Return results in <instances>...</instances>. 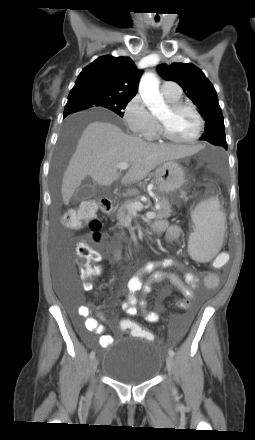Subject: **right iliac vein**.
<instances>
[{"label":"right iliac vein","mask_w":255,"mask_h":440,"mask_svg":"<svg viewBox=\"0 0 255 440\" xmlns=\"http://www.w3.org/2000/svg\"><path fill=\"white\" fill-rule=\"evenodd\" d=\"M97 365H98V360H97L96 358H93V359L91 360V362H90V371H91V374H92V375H93L94 372L96 371V369H97Z\"/></svg>","instance_id":"right-iliac-vein-1"}]
</instances>
